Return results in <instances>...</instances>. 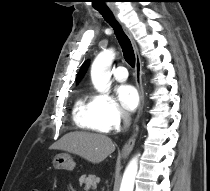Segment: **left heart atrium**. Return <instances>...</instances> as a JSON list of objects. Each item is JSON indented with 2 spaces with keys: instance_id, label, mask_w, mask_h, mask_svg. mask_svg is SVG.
<instances>
[{
  "instance_id": "left-heart-atrium-1",
  "label": "left heart atrium",
  "mask_w": 210,
  "mask_h": 191,
  "mask_svg": "<svg viewBox=\"0 0 210 191\" xmlns=\"http://www.w3.org/2000/svg\"><path fill=\"white\" fill-rule=\"evenodd\" d=\"M121 105L127 111H134L139 104V94L132 85H121L117 90Z\"/></svg>"
}]
</instances>
